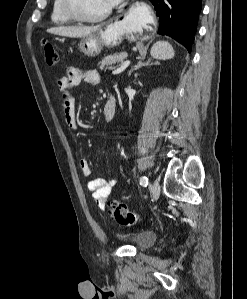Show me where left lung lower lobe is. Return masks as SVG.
Instances as JSON below:
<instances>
[{
  "label": "left lung lower lobe",
  "instance_id": "0a47b994",
  "mask_svg": "<svg viewBox=\"0 0 247 299\" xmlns=\"http://www.w3.org/2000/svg\"><path fill=\"white\" fill-rule=\"evenodd\" d=\"M159 16L158 33L168 35L191 51L201 0H150Z\"/></svg>",
  "mask_w": 247,
  "mask_h": 299
}]
</instances>
